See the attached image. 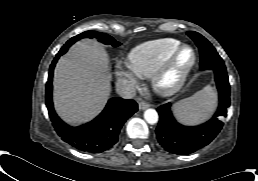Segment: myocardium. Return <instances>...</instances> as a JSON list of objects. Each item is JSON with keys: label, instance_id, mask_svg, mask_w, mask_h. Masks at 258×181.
Masks as SVG:
<instances>
[{"label": "myocardium", "instance_id": "obj_1", "mask_svg": "<svg viewBox=\"0 0 258 181\" xmlns=\"http://www.w3.org/2000/svg\"><path fill=\"white\" fill-rule=\"evenodd\" d=\"M185 49L191 51L192 58L188 64L178 68V59ZM196 62L197 55L192 46L187 44L178 46L152 75V85L155 91L162 96H171L177 93L184 86Z\"/></svg>", "mask_w": 258, "mask_h": 181}]
</instances>
